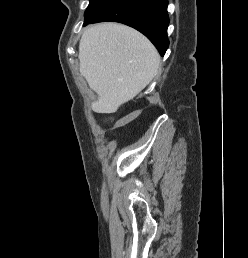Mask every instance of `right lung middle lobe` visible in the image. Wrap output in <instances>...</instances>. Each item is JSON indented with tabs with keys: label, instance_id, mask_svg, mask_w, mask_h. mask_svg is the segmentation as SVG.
Returning <instances> with one entry per match:
<instances>
[{
	"label": "right lung middle lobe",
	"instance_id": "right-lung-middle-lobe-1",
	"mask_svg": "<svg viewBox=\"0 0 248 258\" xmlns=\"http://www.w3.org/2000/svg\"><path fill=\"white\" fill-rule=\"evenodd\" d=\"M117 0H90V4L85 11V21L92 20L108 9Z\"/></svg>",
	"mask_w": 248,
	"mask_h": 258
}]
</instances>
